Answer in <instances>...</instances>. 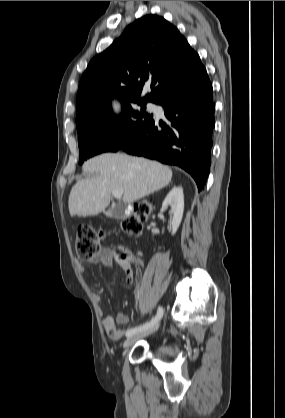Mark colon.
I'll use <instances>...</instances> for the list:
<instances>
[{
    "instance_id": "1",
    "label": "colon",
    "mask_w": 285,
    "mask_h": 418,
    "mask_svg": "<svg viewBox=\"0 0 285 418\" xmlns=\"http://www.w3.org/2000/svg\"><path fill=\"white\" fill-rule=\"evenodd\" d=\"M150 208L147 203L137 204L133 215L121 220V227L125 234L132 235L139 233L142 229V222L149 216ZM103 233L93 226L79 227L75 237L76 259L81 262H89L99 250ZM125 261L135 267L140 262L135 258H126Z\"/></svg>"
}]
</instances>
